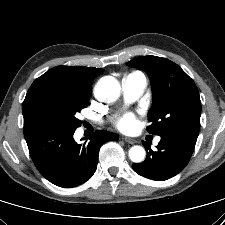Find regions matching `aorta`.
I'll use <instances>...</instances> for the list:
<instances>
[{"label":"aorta","mask_w":225,"mask_h":225,"mask_svg":"<svg viewBox=\"0 0 225 225\" xmlns=\"http://www.w3.org/2000/svg\"><path fill=\"white\" fill-rule=\"evenodd\" d=\"M121 92V86L112 76L102 77L95 86V95L101 102L116 101ZM146 157V151L142 146L135 145L129 150V158L134 163H141Z\"/></svg>","instance_id":"1"}]
</instances>
